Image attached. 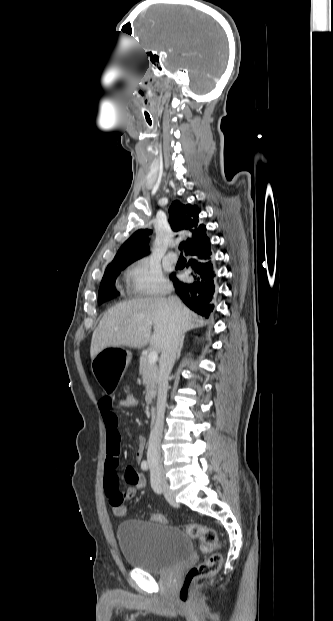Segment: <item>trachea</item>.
Segmentation results:
<instances>
[{
	"mask_svg": "<svg viewBox=\"0 0 333 621\" xmlns=\"http://www.w3.org/2000/svg\"><path fill=\"white\" fill-rule=\"evenodd\" d=\"M183 247H184V242H182L179 246L180 251H182Z\"/></svg>",
	"mask_w": 333,
	"mask_h": 621,
	"instance_id": "3493384b",
	"label": "trachea"
}]
</instances>
